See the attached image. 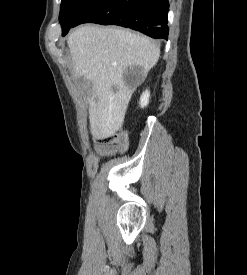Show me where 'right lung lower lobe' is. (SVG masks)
I'll return each instance as SVG.
<instances>
[{
    "label": "right lung lower lobe",
    "instance_id": "right-lung-lower-lobe-1",
    "mask_svg": "<svg viewBox=\"0 0 247 275\" xmlns=\"http://www.w3.org/2000/svg\"><path fill=\"white\" fill-rule=\"evenodd\" d=\"M168 9V0H101L84 11L72 27L88 22L118 25L168 39Z\"/></svg>",
    "mask_w": 247,
    "mask_h": 275
}]
</instances>
